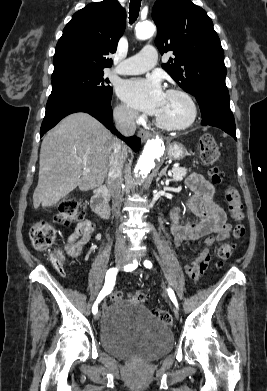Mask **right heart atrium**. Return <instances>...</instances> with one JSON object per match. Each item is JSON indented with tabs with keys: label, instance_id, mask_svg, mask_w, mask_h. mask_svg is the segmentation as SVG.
I'll return each mask as SVG.
<instances>
[{
	"label": "right heart atrium",
	"instance_id": "1",
	"mask_svg": "<svg viewBox=\"0 0 267 391\" xmlns=\"http://www.w3.org/2000/svg\"><path fill=\"white\" fill-rule=\"evenodd\" d=\"M115 119L121 124H133L138 119L137 113L125 104H118L114 110Z\"/></svg>",
	"mask_w": 267,
	"mask_h": 391
}]
</instances>
